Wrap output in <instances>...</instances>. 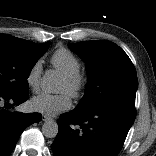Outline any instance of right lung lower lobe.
<instances>
[{"mask_svg":"<svg viewBox=\"0 0 156 156\" xmlns=\"http://www.w3.org/2000/svg\"><path fill=\"white\" fill-rule=\"evenodd\" d=\"M28 97L29 93L12 95L0 91V156H8L25 128L41 120L40 113L24 114L8 110L13 104L25 102Z\"/></svg>","mask_w":156,"mask_h":156,"instance_id":"right-lung-lower-lobe-1","label":"right lung lower lobe"}]
</instances>
